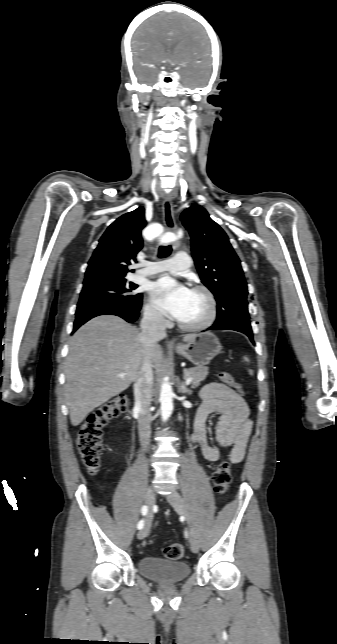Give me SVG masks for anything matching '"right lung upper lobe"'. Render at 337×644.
Instances as JSON below:
<instances>
[{"instance_id": "cb5924a9", "label": "right lung upper lobe", "mask_w": 337, "mask_h": 644, "mask_svg": "<svg viewBox=\"0 0 337 644\" xmlns=\"http://www.w3.org/2000/svg\"><path fill=\"white\" fill-rule=\"evenodd\" d=\"M144 208L126 213L116 219L99 240L85 273V280L125 278L128 265L136 260L143 247L141 230L145 227Z\"/></svg>"}]
</instances>
